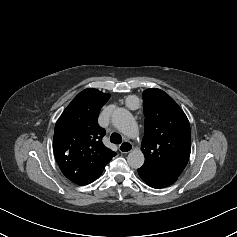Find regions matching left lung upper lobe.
Wrapping results in <instances>:
<instances>
[{
	"label": "left lung upper lobe",
	"instance_id": "1",
	"mask_svg": "<svg viewBox=\"0 0 237 237\" xmlns=\"http://www.w3.org/2000/svg\"><path fill=\"white\" fill-rule=\"evenodd\" d=\"M143 111V166L178 178L191 152V130L186 115L168 94L157 88L143 92Z\"/></svg>",
	"mask_w": 237,
	"mask_h": 237
}]
</instances>
